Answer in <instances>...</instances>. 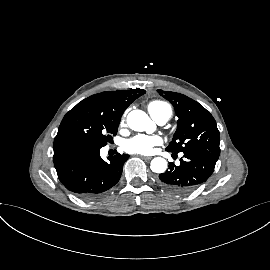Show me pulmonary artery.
Wrapping results in <instances>:
<instances>
[{"mask_svg": "<svg viewBox=\"0 0 270 270\" xmlns=\"http://www.w3.org/2000/svg\"><path fill=\"white\" fill-rule=\"evenodd\" d=\"M154 119L156 120V122L158 124L163 125L168 121L169 117L168 116H160V117H157V118H154Z\"/></svg>", "mask_w": 270, "mask_h": 270, "instance_id": "1", "label": "pulmonary artery"}]
</instances>
